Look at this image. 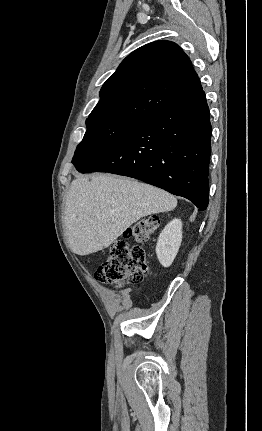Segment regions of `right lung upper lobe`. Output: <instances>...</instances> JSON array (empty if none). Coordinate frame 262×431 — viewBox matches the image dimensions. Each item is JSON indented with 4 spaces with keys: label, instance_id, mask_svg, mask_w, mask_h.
I'll return each mask as SVG.
<instances>
[{
    "label": "right lung upper lobe",
    "instance_id": "obj_1",
    "mask_svg": "<svg viewBox=\"0 0 262 431\" xmlns=\"http://www.w3.org/2000/svg\"><path fill=\"white\" fill-rule=\"evenodd\" d=\"M202 91L189 57L175 43L144 45L120 64L100 91L86 124L140 122Z\"/></svg>",
    "mask_w": 262,
    "mask_h": 431
}]
</instances>
